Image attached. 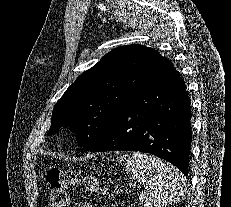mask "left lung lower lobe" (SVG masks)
Masks as SVG:
<instances>
[{
  "label": "left lung lower lobe",
  "instance_id": "1",
  "mask_svg": "<svg viewBox=\"0 0 231 207\" xmlns=\"http://www.w3.org/2000/svg\"><path fill=\"white\" fill-rule=\"evenodd\" d=\"M190 120L185 83L170 60L162 57L144 89L113 118L88 150L154 154L187 177L192 140Z\"/></svg>",
  "mask_w": 231,
  "mask_h": 207
}]
</instances>
